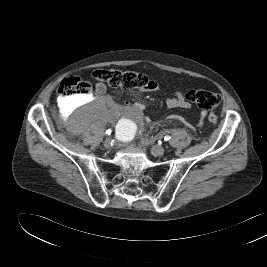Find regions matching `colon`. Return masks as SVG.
I'll return each instance as SVG.
<instances>
[{"label":"colon","mask_w":267,"mask_h":267,"mask_svg":"<svg viewBox=\"0 0 267 267\" xmlns=\"http://www.w3.org/2000/svg\"><path fill=\"white\" fill-rule=\"evenodd\" d=\"M93 77L112 87L123 89H148L154 86V81L146 75L117 69H97L92 73ZM91 91L90 83L78 78H66L61 81L57 88V93L63 98L86 96ZM186 99L205 110H212L219 106L220 96L214 92L206 90H190L186 93ZM208 121L215 125L218 122L217 116L210 112Z\"/></svg>","instance_id":"colon-1"}]
</instances>
